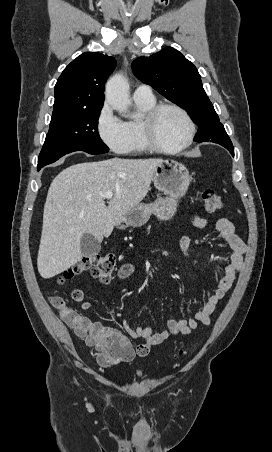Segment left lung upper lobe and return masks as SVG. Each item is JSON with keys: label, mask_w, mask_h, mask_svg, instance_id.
Instances as JSON below:
<instances>
[{"label": "left lung upper lobe", "mask_w": 272, "mask_h": 452, "mask_svg": "<svg viewBox=\"0 0 272 452\" xmlns=\"http://www.w3.org/2000/svg\"><path fill=\"white\" fill-rule=\"evenodd\" d=\"M135 76L168 100L185 109L199 126L197 142L229 141L224 126L206 95L196 67L179 51L165 47L132 63Z\"/></svg>", "instance_id": "left-lung-upper-lobe-1"}]
</instances>
